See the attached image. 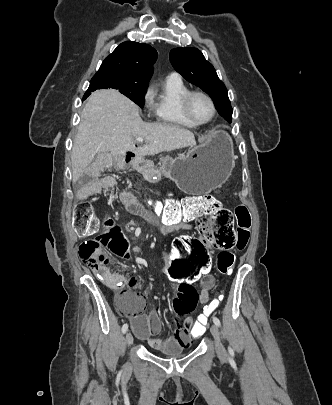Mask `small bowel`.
<instances>
[{
	"instance_id": "c3829d8e",
	"label": "small bowel",
	"mask_w": 332,
	"mask_h": 405,
	"mask_svg": "<svg viewBox=\"0 0 332 405\" xmlns=\"http://www.w3.org/2000/svg\"><path fill=\"white\" fill-rule=\"evenodd\" d=\"M133 165L141 172L154 168V163L143 156H137L133 161ZM102 180V172H93V170L89 168L86 172H81L80 177L76 179V184L77 186H99V181ZM105 182L107 186H111L114 183V179L108 176L105 178ZM120 200L131 214L142 217L147 223L157 224L154 213L146 208L139 197L134 196L131 192L123 191L120 194ZM195 218V215L187 217L186 220L183 221V229L192 230L193 227L190 222ZM134 254L133 259L137 264L143 266L147 264L144 258L138 256V251H135ZM171 255H177L176 241L174 242ZM99 274L103 278H106L103 273ZM117 277L120 282L119 285H122V287L126 286L131 289L140 287L139 281L133 276L120 274ZM214 284L215 278L209 273V275H206V281L195 282L193 287L179 286L178 296L174 299L172 305L173 311H177L183 315L195 312L199 304L204 305L208 302L209 292L214 287ZM127 292L132 296V300H118L117 308L122 314L130 318L132 329L140 339L146 340L151 348L163 351V353H180L181 348H186L190 345L189 334L191 329H193L192 326L194 323L190 317H187L183 325H179L175 329L174 335L163 340L158 339L155 336L158 335L162 329V322L159 315L155 311H151L148 314L143 313L145 306L144 296L131 291ZM206 307H213V304H209Z\"/></svg>"
}]
</instances>
